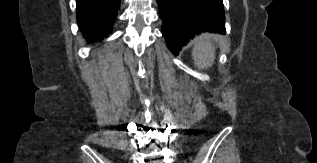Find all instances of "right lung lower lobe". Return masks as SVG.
<instances>
[{
  "mask_svg": "<svg viewBox=\"0 0 317 163\" xmlns=\"http://www.w3.org/2000/svg\"><path fill=\"white\" fill-rule=\"evenodd\" d=\"M121 0H76L77 21L90 41L108 37Z\"/></svg>",
  "mask_w": 317,
  "mask_h": 163,
  "instance_id": "98d812e1",
  "label": "right lung lower lobe"
}]
</instances>
